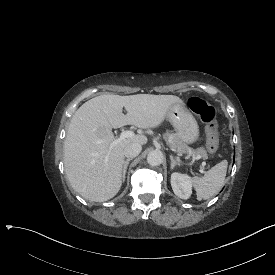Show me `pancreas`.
<instances>
[{
    "label": "pancreas",
    "mask_w": 275,
    "mask_h": 275,
    "mask_svg": "<svg viewBox=\"0 0 275 275\" xmlns=\"http://www.w3.org/2000/svg\"><path fill=\"white\" fill-rule=\"evenodd\" d=\"M162 137L166 140L170 148L176 153H189L192 156H200L201 159L206 160L208 154L204 147L192 148L184 143L174 131H166L162 133Z\"/></svg>",
    "instance_id": "pancreas-1"
}]
</instances>
